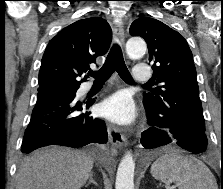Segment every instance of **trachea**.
Wrapping results in <instances>:
<instances>
[{"label":"trachea","instance_id":"trachea-1","mask_svg":"<svg viewBox=\"0 0 223 189\" xmlns=\"http://www.w3.org/2000/svg\"><path fill=\"white\" fill-rule=\"evenodd\" d=\"M115 71H117L124 81L133 83L132 76L125 65L122 51L117 44L113 45L111 48L101 69L99 71H91L88 74L95 78V82L103 83L107 81Z\"/></svg>","mask_w":223,"mask_h":189}]
</instances>
